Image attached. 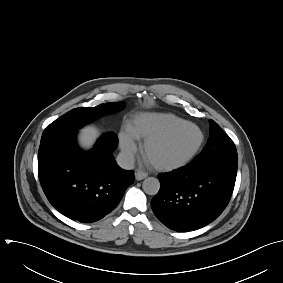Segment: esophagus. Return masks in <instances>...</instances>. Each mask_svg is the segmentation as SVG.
Segmentation results:
<instances>
[{
  "label": "esophagus",
  "instance_id": "obj_1",
  "mask_svg": "<svg viewBox=\"0 0 283 283\" xmlns=\"http://www.w3.org/2000/svg\"><path fill=\"white\" fill-rule=\"evenodd\" d=\"M148 176V173L141 171V170H136L135 171V178L137 181L143 180Z\"/></svg>",
  "mask_w": 283,
  "mask_h": 283
}]
</instances>
